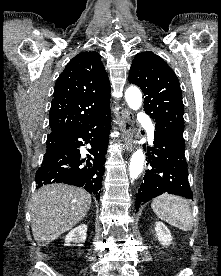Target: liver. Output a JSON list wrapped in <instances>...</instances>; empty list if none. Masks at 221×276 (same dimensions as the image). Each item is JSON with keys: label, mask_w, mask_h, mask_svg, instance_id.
Wrapping results in <instances>:
<instances>
[{"label": "liver", "mask_w": 221, "mask_h": 276, "mask_svg": "<svg viewBox=\"0 0 221 276\" xmlns=\"http://www.w3.org/2000/svg\"><path fill=\"white\" fill-rule=\"evenodd\" d=\"M90 206L91 195L83 188L65 184L43 186L30 205L35 241L43 246L54 241L79 223Z\"/></svg>", "instance_id": "liver-1"}]
</instances>
